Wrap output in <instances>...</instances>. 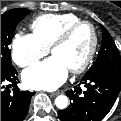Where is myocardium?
Wrapping results in <instances>:
<instances>
[{"mask_svg":"<svg viewBox=\"0 0 121 121\" xmlns=\"http://www.w3.org/2000/svg\"><path fill=\"white\" fill-rule=\"evenodd\" d=\"M86 26L90 29L91 35H92V41H91V45L88 51L87 56L85 57V59L82 61V63H80L78 66L72 68L70 70L71 73L73 74H78V73H82L83 71H85L87 69V67L90 65V63L92 62L97 48H98V42H99V37H98V32L96 30L95 25L90 22V21H86V20H80L78 22L73 23L72 25L68 26L56 39L55 41L52 43L51 45V52H53V50L66 43L69 38L81 27Z\"/></svg>","mask_w":121,"mask_h":121,"instance_id":"myocardium-1","label":"myocardium"}]
</instances>
